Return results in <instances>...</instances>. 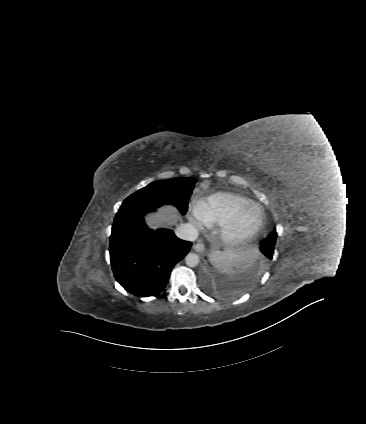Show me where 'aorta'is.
<instances>
[{
	"mask_svg": "<svg viewBox=\"0 0 366 424\" xmlns=\"http://www.w3.org/2000/svg\"><path fill=\"white\" fill-rule=\"evenodd\" d=\"M200 262V258L195 253H188L185 257V263L188 267H196Z\"/></svg>",
	"mask_w": 366,
	"mask_h": 424,
	"instance_id": "762f6f07",
	"label": "aorta"
}]
</instances>
